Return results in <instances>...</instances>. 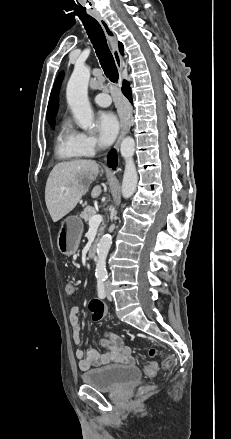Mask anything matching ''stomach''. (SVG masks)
<instances>
[{
	"label": "stomach",
	"instance_id": "0dacf381",
	"mask_svg": "<svg viewBox=\"0 0 231 439\" xmlns=\"http://www.w3.org/2000/svg\"><path fill=\"white\" fill-rule=\"evenodd\" d=\"M83 233L82 221L77 216L68 217L61 226L57 238L59 251L65 256L76 253Z\"/></svg>",
	"mask_w": 231,
	"mask_h": 439
}]
</instances>
